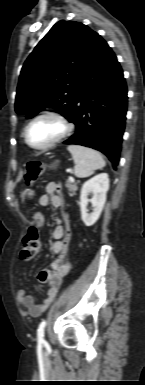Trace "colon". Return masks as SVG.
<instances>
[{"label":"colon","mask_w":145,"mask_h":385,"mask_svg":"<svg viewBox=\"0 0 145 385\" xmlns=\"http://www.w3.org/2000/svg\"><path fill=\"white\" fill-rule=\"evenodd\" d=\"M41 171L42 164L40 162H29L24 173V180L26 184L34 182L41 174ZM33 218L34 225H32L26 232L20 252L21 259L26 261L34 258L39 249V229L43 223V215L40 212H36ZM64 261L65 256H62V260L57 264V266L60 267Z\"/></svg>","instance_id":"1"}]
</instances>
